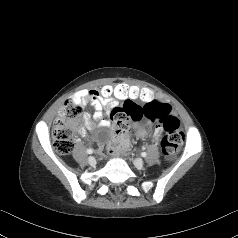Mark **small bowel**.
Returning <instances> with one entry per match:
<instances>
[{"label": "small bowel", "mask_w": 238, "mask_h": 238, "mask_svg": "<svg viewBox=\"0 0 238 238\" xmlns=\"http://www.w3.org/2000/svg\"><path fill=\"white\" fill-rule=\"evenodd\" d=\"M72 100L78 104L87 105L90 104L94 108V112L91 115L90 113H85L83 116V122L86 129L91 130L94 126V121L98 123L99 126L106 127L109 125V122L104 120L105 110H110L116 107V99H111L108 101L102 100L99 97L98 90H81L74 94ZM124 105V103H123ZM122 105V106H123ZM171 110V107H170ZM158 125H161L160 121H155ZM84 127L80 128V133H84ZM161 135V128L156 127L154 130V137L158 139ZM129 145L128 137L126 136V147Z\"/></svg>", "instance_id": "small-bowel-1"}]
</instances>
